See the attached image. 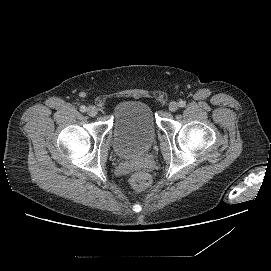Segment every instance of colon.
I'll return each instance as SVG.
<instances>
[{
    "label": "colon",
    "mask_w": 271,
    "mask_h": 271,
    "mask_svg": "<svg viewBox=\"0 0 271 271\" xmlns=\"http://www.w3.org/2000/svg\"><path fill=\"white\" fill-rule=\"evenodd\" d=\"M129 181L131 186L138 191L146 189L151 183L150 176L142 171L132 174Z\"/></svg>",
    "instance_id": "1"
}]
</instances>
